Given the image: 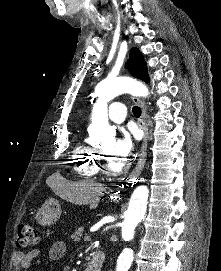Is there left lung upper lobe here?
<instances>
[{
	"mask_svg": "<svg viewBox=\"0 0 221 271\" xmlns=\"http://www.w3.org/2000/svg\"><path fill=\"white\" fill-rule=\"evenodd\" d=\"M128 68L132 76L139 78L145 82H149L147 73V65L143 59L141 52L137 48H132L128 59Z\"/></svg>",
	"mask_w": 221,
	"mask_h": 271,
	"instance_id": "5c2ea615",
	"label": "left lung upper lobe"
}]
</instances>
